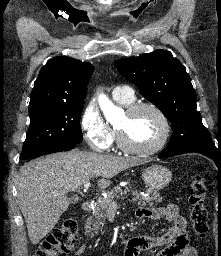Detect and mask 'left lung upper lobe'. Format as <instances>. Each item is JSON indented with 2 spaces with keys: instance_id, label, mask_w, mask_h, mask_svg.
Instances as JSON below:
<instances>
[{
  "instance_id": "5c2ea615",
  "label": "left lung upper lobe",
  "mask_w": 221,
  "mask_h": 256,
  "mask_svg": "<svg viewBox=\"0 0 221 256\" xmlns=\"http://www.w3.org/2000/svg\"><path fill=\"white\" fill-rule=\"evenodd\" d=\"M117 70L131 81L148 101L171 122L168 146L211 140L196 110V92L186 68L167 50H155L115 62Z\"/></svg>"
}]
</instances>
